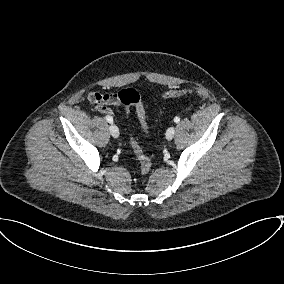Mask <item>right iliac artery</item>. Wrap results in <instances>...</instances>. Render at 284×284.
Masks as SVG:
<instances>
[{
  "mask_svg": "<svg viewBox=\"0 0 284 284\" xmlns=\"http://www.w3.org/2000/svg\"><path fill=\"white\" fill-rule=\"evenodd\" d=\"M105 119L109 123H113V118L111 116H105Z\"/></svg>",
  "mask_w": 284,
  "mask_h": 284,
  "instance_id": "right-iliac-artery-1",
  "label": "right iliac artery"
}]
</instances>
